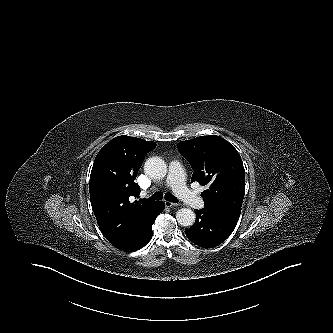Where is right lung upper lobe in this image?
Returning <instances> with one entry per match:
<instances>
[{
  "mask_svg": "<svg viewBox=\"0 0 333 333\" xmlns=\"http://www.w3.org/2000/svg\"><path fill=\"white\" fill-rule=\"evenodd\" d=\"M155 142L119 136L97 154L90 175V201L102 234L117 249L129 247L156 214L159 202L136 200L134 182Z\"/></svg>",
  "mask_w": 333,
  "mask_h": 333,
  "instance_id": "right-lung-upper-lobe-1",
  "label": "right lung upper lobe"
}]
</instances>
